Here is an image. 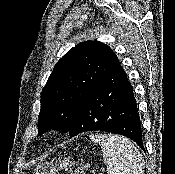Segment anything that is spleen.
<instances>
[{
	"mask_svg": "<svg viewBox=\"0 0 175 174\" xmlns=\"http://www.w3.org/2000/svg\"><path fill=\"white\" fill-rule=\"evenodd\" d=\"M90 138L101 146L107 174H143L142 155L127 138L112 134L91 135Z\"/></svg>",
	"mask_w": 175,
	"mask_h": 174,
	"instance_id": "spleen-1",
	"label": "spleen"
}]
</instances>
